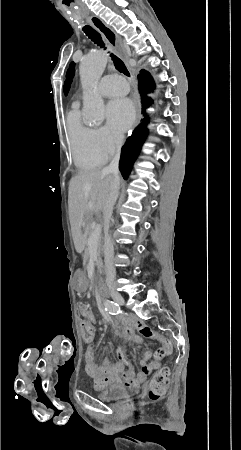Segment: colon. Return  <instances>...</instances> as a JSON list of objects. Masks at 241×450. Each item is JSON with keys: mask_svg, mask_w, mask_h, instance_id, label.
I'll list each match as a JSON object with an SVG mask.
<instances>
[{"mask_svg": "<svg viewBox=\"0 0 241 450\" xmlns=\"http://www.w3.org/2000/svg\"><path fill=\"white\" fill-rule=\"evenodd\" d=\"M79 335L84 337L86 343H91L97 338V333L93 331V323L87 322L79 326ZM167 354L166 348L158 350L157 357L154 358V363ZM171 371L164 369V371L157 372L148 386V399L150 401H157L164 397L168 389L169 373Z\"/></svg>", "mask_w": 241, "mask_h": 450, "instance_id": "obj_1", "label": "colon"}]
</instances>
